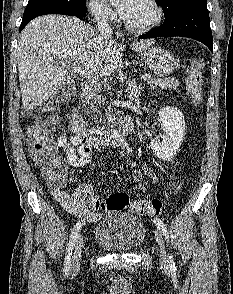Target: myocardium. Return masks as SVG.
I'll return each mask as SVG.
<instances>
[{"mask_svg":"<svg viewBox=\"0 0 233 294\" xmlns=\"http://www.w3.org/2000/svg\"><path fill=\"white\" fill-rule=\"evenodd\" d=\"M145 2L147 4H149L150 7L152 8L153 18L148 23H146L144 25H140V26L131 25L124 18L123 25L128 31H130L132 33H136V34L147 33L149 31L153 30L154 28H156L157 26H159L160 23L162 22L163 9L159 5V3L156 0H145Z\"/></svg>","mask_w":233,"mask_h":294,"instance_id":"f54148a6","label":"myocardium"}]
</instances>
